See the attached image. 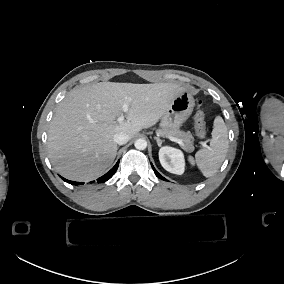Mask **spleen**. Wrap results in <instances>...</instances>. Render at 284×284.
Listing matches in <instances>:
<instances>
[{
  "label": "spleen",
  "mask_w": 284,
  "mask_h": 284,
  "mask_svg": "<svg viewBox=\"0 0 284 284\" xmlns=\"http://www.w3.org/2000/svg\"><path fill=\"white\" fill-rule=\"evenodd\" d=\"M228 148V130L223 118L218 115L213 121L209 146L198 150L195 157L188 155L186 160L191 167L197 166L200 173L209 178L218 171L224 162Z\"/></svg>",
  "instance_id": "1"
}]
</instances>
